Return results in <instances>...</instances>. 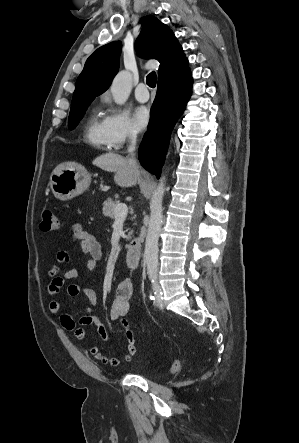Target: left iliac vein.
<instances>
[{"mask_svg": "<svg viewBox=\"0 0 299 443\" xmlns=\"http://www.w3.org/2000/svg\"><path fill=\"white\" fill-rule=\"evenodd\" d=\"M160 291H161V288H160ZM158 306H159L160 308H163V307H164V303H163L162 300H160V301L158 302Z\"/></svg>", "mask_w": 299, "mask_h": 443, "instance_id": "left-iliac-vein-1", "label": "left iliac vein"}]
</instances>
